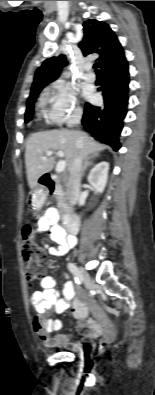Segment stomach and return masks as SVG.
I'll return each instance as SVG.
<instances>
[{
    "mask_svg": "<svg viewBox=\"0 0 155 395\" xmlns=\"http://www.w3.org/2000/svg\"><path fill=\"white\" fill-rule=\"evenodd\" d=\"M47 194L45 191H43L40 187H35L31 192H30V205L33 209H40L45 201H46Z\"/></svg>",
    "mask_w": 155,
    "mask_h": 395,
    "instance_id": "0dacf381",
    "label": "stomach"
}]
</instances>
